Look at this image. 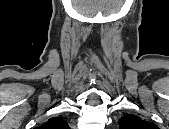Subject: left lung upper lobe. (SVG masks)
Masks as SVG:
<instances>
[{
  "label": "left lung upper lobe",
  "instance_id": "5c2ea615",
  "mask_svg": "<svg viewBox=\"0 0 169 129\" xmlns=\"http://www.w3.org/2000/svg\"><path fill=\"white\" fill-rule=\"evenodd\" d=\"M120 129H157L158 127L151 122L140 119L136 115H127L118 120Z\"/></svg>",
  "mask_w": 169,
  "mask_h": 129
}]
</instances>
